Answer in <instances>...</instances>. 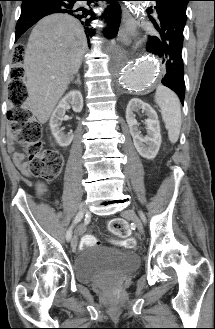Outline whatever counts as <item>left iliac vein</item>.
Instances as JSON below:
<instances>
[{
    "label": "left iliac vein",
    "instance_id": "obj_1",
    "mask_svg": "<svg viewBox=\"0 0 215 329\" xmlns=\"http://www.w3.org/2000/svg\"><path fill=\"white\" fill-rule=\"evenodd\" d=\"M122 216H123L124 218L130 219L131 221H133L134 224L136 225L138 231H139L140 233H143L144 228H143L142 221H141V219L136 215V213H135L134 210L127 209V210H125V211L122 213Z\"/></svg>",
    "mask_w": 215,
    "mask_h": 329
}]
</instances>
